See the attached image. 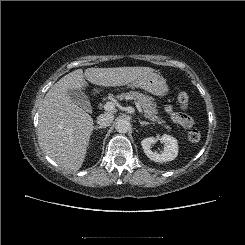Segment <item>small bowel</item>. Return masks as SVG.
Returning <instances> with one entry per match:
<instances>
[{"mask_svg": "<svg viewBox=\"0 0 245 245\" xmlns=\"http://www.w3.org/2000/svg\"><path fill=\"white\" fill-rule=\"evenodd\" d=\"M166 112L175 123L185 129L191 128L195 123L193 117L176 112L172 105L166 107Z\"/></svg>", "mask_w": 245, "mask_h": 245, "instance_id": "1", "label": "small bowel"}]
</instances>
